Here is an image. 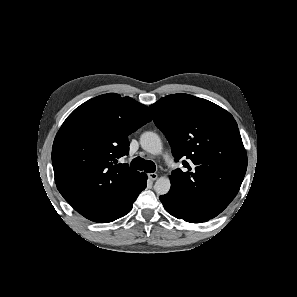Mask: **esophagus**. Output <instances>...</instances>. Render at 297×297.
<instances>
[{"mask_svg":"<svg viewBox=\"0 0 297 297\" xmlns=\"http://www.w3.org/2000/svg\"><path fill=\"white\" fill-rule=\"evenodd\" d=\"M148 178L151 180V181H155L157 178H158V175L156 173H149L148 174Z\"/></svg>","mask_w":297,"mask_h":297,"instance_id":"34e87169","label":"esophagus"}]
</instances>
